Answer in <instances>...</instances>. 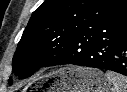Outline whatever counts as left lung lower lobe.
Returning <instances> with one entry per match:
<instances>
[{
	"label": "left lung lower lobe",
	"instance_id": "obj_1",
	"mask_svg": "<svg viewBox=\"0 0 127 92\" xmlns=\"http://www.w3.org/2000/svg\"><path fill=\"white\" fill-rule=\"evenodd\" d=\"M73 64L127 76V1L77 33L44 67Z\"/></svg>",
	"mask_w": 127,
	"mask_h": 92
}]
</instances>
